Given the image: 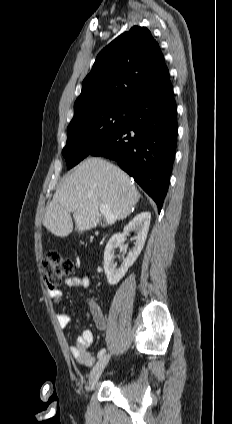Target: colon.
<instances>
[{
	"label": "colon",
	"mask_w": 232,
	"mask_h": 424,
	"mask_svg": "<svg viewBox=\"0 0 232 424\" xmlns=\"http://www.w3.org/2000/svg\"><path fill=\"white\" fill-rule=\"evenodd\" d=\"M41 269L45 284L48 288H55L73 273L74 264L70 258L50 251L43 255Z\"/></svg>",
	"instance_id": "obj_1"
}]
</instances>
